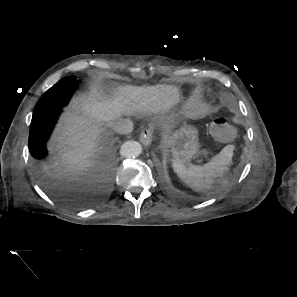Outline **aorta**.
Here are the masks:
<instances>
[{"label": "aorta", "instance_id": "1", "mask_svg": "<svg viewBox=\"0 0 297 297\" xmlns=\"http://www.w3.org/2000/svg\"><path fill=\"white\" fill-rule=\"evenodd\" d=\"M141 152V144L134 140L126 141L120 148V154L125 158L138 157L141 154Z\"/></svg>", "mask_w": 297, "mask_h": 297}]
</instances>
